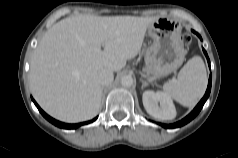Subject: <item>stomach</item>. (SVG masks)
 <instances>
[{
    "mask_svg": "<svg viewBox=\"0 0 238 158\" xmlns=\"http://www.w3.org/2000/svg\"><path fill=\"white\" fill-rule=\"evenodd\" d=\"M148 35L153 42L146 50L145 63L152 76L159 79L176 71L186 55L176 23L158 18L148 27Z\"/></svg>",
    "mask_w": 238,
    "mask_h": 158,
    "instance_id": "1",
    "label": "stomach"
}]
</instances>
